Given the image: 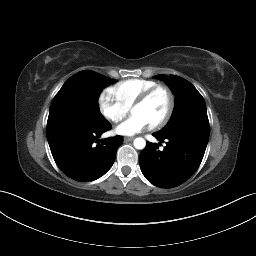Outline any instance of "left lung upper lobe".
Instances as JSON below:
<instances>
[{"mask_svg":"<svg viewBox=\"0 0 256 256\" xmlns=\"http://www.w3.org/2000/svg\"><path fill=\"white\" fill-rule=\"evenodd\" d=\"M175 94V107L168 124L159 132L166 136L188 131L209 138V121L203 97L187 80L175 75H156Z\"/></svg>","mask_w":256,"mask_h":256,"instance_id":"5c2ea615","label":"left lung upper lobe"}]
</instances>
